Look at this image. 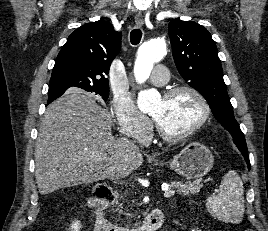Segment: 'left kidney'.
I'll list each match as a JSON object with an SVG mask.
<instances>
[{"mask_svg": "<svg viewBox=\"0 0 268 231\" xmlns=\"http://www.w3.org/2000/svg\"><path fill=\"white\" fill-rule=\"evenodd\" d=\"M192 231H201V230H192Z\"/></svg>", "mask_w": 268, "mask_h": 231, "instance_id": "obj_1", "label": "left kidney"}]
</instances>
